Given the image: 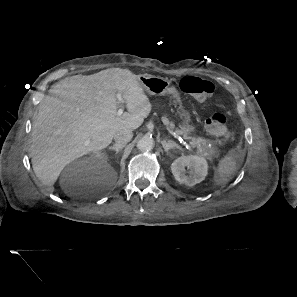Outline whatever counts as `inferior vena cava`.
<instances>
[{
    "mask_svg": "<svg viewBox=\"0 0 297 297\" xmlns=\"http://www.w3.org/2000/svg\"><path fill=\"white\" fill-rule=\"evenodd\" d=\"M132 137H133L132 130L124 129L115 133L114 140L116 142V145L125 146L128 142L131 141Z\"/></svg>",
    "mask_w": 297,
    "mask_h": 297,
    "instance_id": "602c4592",
    "label": "inferior vena cava"
}]
</instances>
